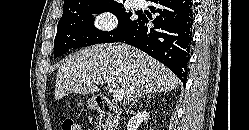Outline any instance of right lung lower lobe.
I'll use <instances>...</instances> for the list:
<instances>
[{"label": "right lung lower lobe", "instance_id": "obj_1", "mask_svg": "<svg viewBox=\"0 0 249 130\" xmlns=\"http://www.w3.org/2000/svg\"><path fill=\"white\" fill-rule=\"evenodd\" d=\"M159 13L148 28L149 18L140 15L119 41L135 46L157 59L186 84L187 65L192 41L193 9L190 0H153ZM151 19V18H150Z\"/></svg>", "mask_w": 249, "mask_h": 130}]
</instances>
